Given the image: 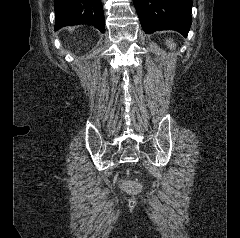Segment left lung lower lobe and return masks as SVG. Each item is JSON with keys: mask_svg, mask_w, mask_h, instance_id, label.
<instances>
[{"mask_svg": "<svg viewBox=\"0 0 240 238\" xmlns=\"http://www.w3.org/2000/svg\"><path fill=\"white\" fill-rule=\"evenodd\" d=\"M145 33L175 30L187 37L192 0H133Z\"/></svg>", "mask_w": 240, "mask_h": 238, "instance_id": "0a47b994", "label": "left lung lower lobe"}]
</instances>
